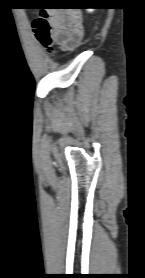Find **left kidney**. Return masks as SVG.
<instances>
[{"instance_id": "1", "label": "left kidney", "mask_w": 145, "mask_h": 278, "mask_svg": "<svg viewBox=\"0 0 145 278\" xmlns=\"http://www.w3.org/2000/svg\"><path fill=\"white\" fill-rule=\"evenodd\" d=\"M87 10H88V12H92L94 9L93 8H89Z\"/></svg>"}]
</instances>
